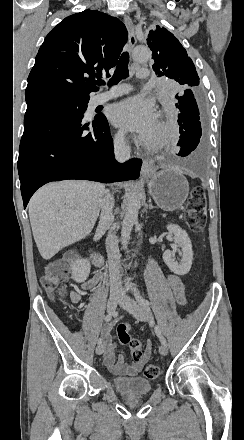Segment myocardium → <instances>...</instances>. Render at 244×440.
<instances>
[{
    "mask_svg": "<svg viewBox=\"0 0 244 440\" xmlns=\"http://www.w3.org/2000/svg\"><path fill=\"white\" fill-rule=\"evenodd\" d=\"M161 116H163V114H161ZM163 129L165 128L166 124L164 122L161 123Z\"/></svg>",
    "mask_w": 244,
    "mask_h": 440,
    "instance_id": "f54148a6",
    "label": "myocardium"
}]
</instances>
